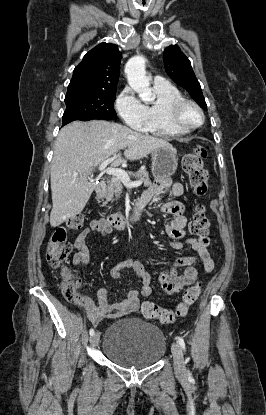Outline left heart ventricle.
Masks as SVG:
<instances>
[{"instance_id":"left-heart-ventricle-1","label":"left heart ventricle","mask_w":266,"mask_h":415,"mask_svg":"<svg viewBox=\"0 0 266 415\" xmlns=\"http://www.w3.org/2000/svg\"><path fill=\"white\" fill-rule=\"evenodd\" d=\"M183 119L189 124H199L201 122V117L197 110L192 106H186L182 113Z\"/></svg>"}]
</instances>
